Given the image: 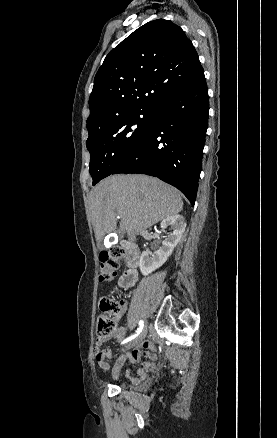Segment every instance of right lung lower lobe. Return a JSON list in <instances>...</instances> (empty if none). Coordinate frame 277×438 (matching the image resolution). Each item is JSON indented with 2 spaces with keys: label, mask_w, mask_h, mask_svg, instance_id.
<instances>
[{
  "label": "right lung lower lobe",
  "mask_w": 277,
  "mask_h": 438,
  "mask_svg": "<svg viewBox=\"0 0 277 438\" xmlns=\"http://www.w3.org/2000/svg\"><path fill=\"white\" fill-rule=\"evenodd\" d=\"M208 111V89L203 73L156 102L148 133L113 174L140 173L158 177L178 188L194 205Z\"/></svg>",
  "instance_id": "98d812e1"
}]
</instances>
